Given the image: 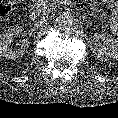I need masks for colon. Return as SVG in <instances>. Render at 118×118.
Segmentation results:
<instances>
[{
	"label": "colon",
	"instance_id": "colon-1",
	"mask_svg": "<svg viewBox=\"0 0 118 118\" xmlns=\"http://www.w3.org/2000/svg\"><path fill=\"white\" fill-rule=\"evenodd\" d=\"M14 0H0V19L6 18L11 12Z\"/></svg>",
	"mask_w": 118,
	"mask_h": 118
}]
</instances>
